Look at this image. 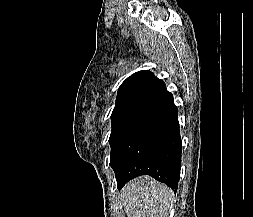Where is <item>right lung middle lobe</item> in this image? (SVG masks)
<instances>
[{"mask_svg":"<svg viewBox=\"0 0 253 217\" xmlns=\"http://www.w3.org/2000/svg\"><path fill=\"white\" fill-rule=\"evenodd\" d=\"M150 104V102L145 101H130L116 104L111 115L112 131L109 138L111 156L126 131L143 114Z\"/></svg>","mask_w":253,"mask_h":217,"instance_id":"dd1d6c3e","label":"right lung middle lobe"}]
</instances>
